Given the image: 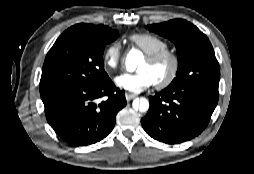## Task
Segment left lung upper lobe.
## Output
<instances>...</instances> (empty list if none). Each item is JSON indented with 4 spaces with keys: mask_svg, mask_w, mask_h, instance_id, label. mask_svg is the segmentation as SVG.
<instances>
[{
    "mask_svg": "<svg viewBox=\"0 0 254 174\" xmlns=\"http://www.w3.org/2000/svg\"><path fill=\"white\" fill-rule=\"evenodd\" d=\"M147 29L167 37L177 47V77L168 88L196 83L219 84L220 69L207 36L183 19L148 25Z\"/></svg>",
    "mask_w": 254,
    "mask_h": 174,
    "instance_id": "5c2ea615",
    "label": "left lung upper lobe"
}]
</instances>
